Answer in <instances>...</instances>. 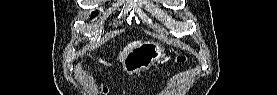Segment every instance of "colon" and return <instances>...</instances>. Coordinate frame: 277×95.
<instances>
[{
    "instance_id": "5ec220e1",
    "label": "colon",
    "mask_w": 277,
    "mask_h": 95,
    "mask_svg": "<svg viewBox=\"0 0 277 95\" xmlns=\"http://www.w3.org/2000/svg\"><path fill=\"white\" fill-rule=\"evenodd\" d=\"M179 59H180V61H185L184 57H180Z\"/></svg>"
}]
</instances>
